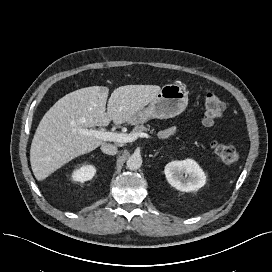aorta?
Returning <instances> with one entry per match:
<instances>
[{
	"instance_id": "aorta-1",
	"label": "aorta",
	"mask_w": 272,
	"mask_h": 272,
	"mask_svg": "<svg viewBox=\"0 0 272 272\" xmlns=\"http://www.w3.org/2000/svg\"><path fill=\"white\" fill-rule=\"evenodd\" d=\"M126 166L129 170H138L142 166L141 156L137 154L131 155L126 162Z\"/></svg>"
}]
</instances>
